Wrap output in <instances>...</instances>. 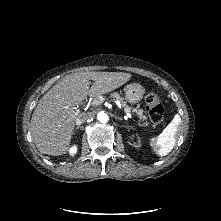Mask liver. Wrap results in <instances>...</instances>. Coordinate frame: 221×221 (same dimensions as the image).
<instances>
[{
  "label": "liver",
  "mask_w": 221,
  "mask_h": 221,
  "mask_svg": "<svg viewBox=\"0 0 221 221\" xmlns=\"http://www.w3.org/2000/svg\"><path fill=\"white\" fill-rule=\"evenodd\" d=\"M131 78L123 72H81L65 77L55 84L34 109L30 131L38 150L47 155L67 153L75 122L81 111L75 106L87 97L109 93ZM90 80L93 81L89 88Z\"/></svg>",
  "instance_id": "liver-1"
}]
</instances>
